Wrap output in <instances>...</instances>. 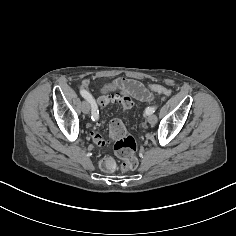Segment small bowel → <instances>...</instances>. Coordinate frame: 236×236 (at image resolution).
Here are the masks:
<instances>
[{
    "mask_svg": "<svg viewBox=\"0 0 236 236\" xmlns=\"http://www.w3.org/2000/svg\"><path fill=\"white\" fill-rule=\"evenodd\" d=\"M116 84L120 86L124 91L131 94L133 97L142 100V101H150L152 100V95L144 89L137 81L125 79V78H119L116 80ZM88 81H83V86H87ZM129 85V87H127ZM133 85H136L137 88H133Z\"/></svg>",
    "mask_w": 236,
    "mask_h": 236,
    "instance_id": "c3829d8e",
    "label": "small bowel"
}]
</instances>
